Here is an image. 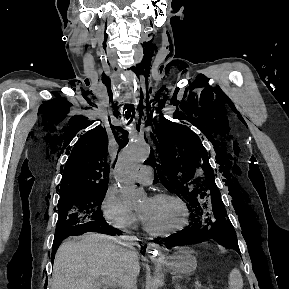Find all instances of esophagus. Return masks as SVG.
<instances>
[{"instance_id":"1","label":"esophagus","mask_w":289,"mask_h":289,"mask_svg":"<svg viewBox=\"0 0 289 289\" xmlns=\"http://www.w3.org/2000/svg\"><path fill=\"white\" fill-rule=\"evenodd\" d=\"M146 251L148 256L157 258L160 255L161 247L156 243H148Z\"/></svg>"}]
</instances>
